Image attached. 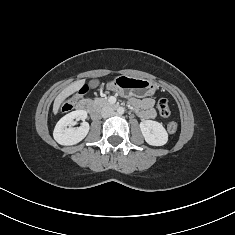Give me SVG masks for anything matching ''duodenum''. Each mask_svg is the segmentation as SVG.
Listing matches in <instances>:
<instances>
[{
	"label": "duodenum",
	"mask_w": 235,
	"mask_h": 235,
	"mask_svg": "<svg viewBox=\"0 0 235 235\" xmlns=\"http://www.w3.org/2000/svg\"><path fill=\"white\" fill-rule=\"evenodd\" d=\"M77 109L79 111L89 112L93 116L97 115V111L93 107L92 102L90 100H87V99L80 101L77 105Z\"/></svg>",
	"instance_id": "duodenum-1"
}]
</instances>
